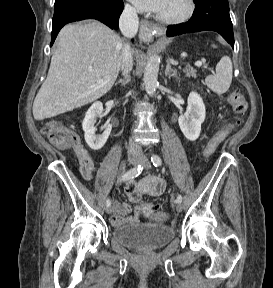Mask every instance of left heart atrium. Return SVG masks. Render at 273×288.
<instances>
[{"mask_svg": "<svg viewBox=\"0 0 273 288\" xmlns=\"http://www.w3.org/2000/svg\"><path fill=\"white\" fill-rule=\"evenodd\" d=\"M167 0H131L141 11L159 13Z\"/></svg>", "mask_w": 273, "mask_h": 288, "instance_id": "39dd6f15", "label": "left heart atrium"}]
</instances>
